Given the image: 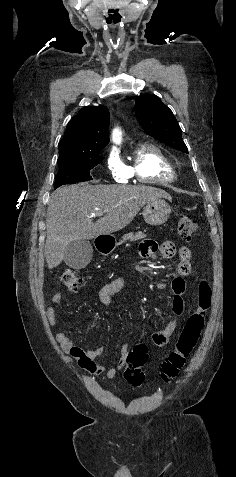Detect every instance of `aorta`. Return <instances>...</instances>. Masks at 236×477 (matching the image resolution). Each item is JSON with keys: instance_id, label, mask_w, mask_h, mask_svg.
<instances>
[{"instance_id": "762f6f07", "label": "aorta", "mask_w": 236, "mask_h": 477, "mask_svg": "<svg viewBox=\"0 0 236 477\" xmlns=\"http://www.w3.org/2000/svg\"><path fill=\"white\" fill-rule=\"evenodd\" d=\"M112 139L117 144H119L121 142L122 133L118 128L114 129L113 134H112Z\"/></svg>"}]
</instances>
